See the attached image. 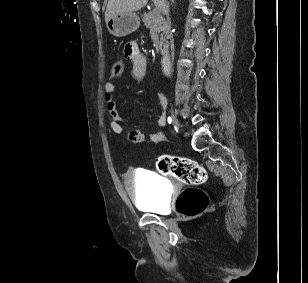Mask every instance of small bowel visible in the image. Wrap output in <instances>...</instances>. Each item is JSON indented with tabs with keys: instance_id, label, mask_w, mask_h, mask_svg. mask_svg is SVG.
<instances>
[{
	"instance_id": "small-bowel-1",
	"label": "small bowel",
	"mask_w": 308,
	"mask_h": 283,
	"mask_svg": "<svg viewBox=\"0 0 308 283\" xmlns=\"http://www.w3.org/2000/svg\"><path fill=\"white\" fill-rule=\"evenodd\" d=\"M124 55L132 62V77L136 80L143 79L147 73V61L145 56L140 52L138 44L134 41L128 42L124 47ZM114 93L115 84L113 81H108L104 86V98L110 115L109 126L114 133L121 134L123 132L124 114L117 104ZM160 103L163 113L159 119V123L161 126H164L167 102L162 95H160ZM128 138L132 142L140 143L144 141L145 134L140 130H132L129 132ZM149 138L153 143L159 144L164 141L165 136L163 132L158 131L150 132Z\"/></svg>"
}]
</instances>
